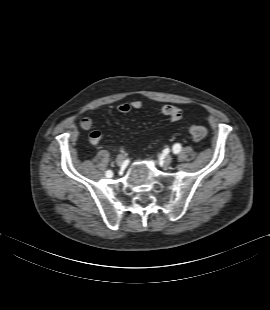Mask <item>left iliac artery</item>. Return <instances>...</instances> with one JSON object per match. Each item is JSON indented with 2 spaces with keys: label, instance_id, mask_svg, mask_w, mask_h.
Returning <instances> with one entry per match:
<instances>
[{
  "label": "left iliac artery",
  "instance_id": "left-iliac-artery-1",
  "mask_svg": "<svg viewBox=\"0 0 270 310\" xmlns=\"http://www.w3.org/2000/svg\"><path fill=\"white\" fill-rule=\"evenodd\" d=\"M181 151V145L180 144H175L174 146H173V152L175 153V154H177V153H179Z\"/></svg>",
  "mask_w": 270,
  "mask_h": 310
}]
</instances>
